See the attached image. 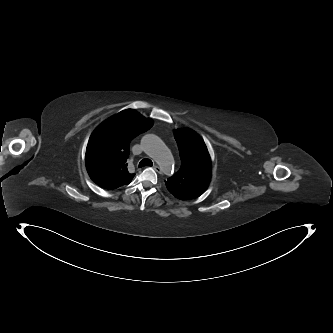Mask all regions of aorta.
Masks as SVG:
<instances>
[{
    "mask_svg": "<svg viewBox=\"0 0 333 333\" xmlns=\"http://www.w3.org/2000/svg\"><path fill=\"white\" fill-rule=\"evenodd\" d=\"M145 153L150 156L164 173H170L173 168L174 158L170 149L156 135L147 134L141 139Z\"/></svg>",
    "mask_w": 333,
    "mask_h": 333,
    "instance_id": "762f6f07",
    "label": "aorta"
}]
</instances>
